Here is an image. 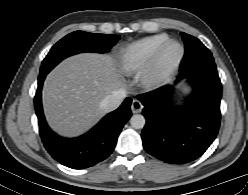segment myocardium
Listing matches in <instances>:
<instances>
[{
    "mask_svg": "<svg viewBox=\"0 0 248 195\" xmlns=\"http://www.w3.org/2000/svg\"><path fill=\"white\" fill-rule=\"evenodd\" d=\"M177 44L180 53L177 59L171 64H164V56L168 48ZM185 49L183 44L176 39H168L156 52L149 66L141 73L140 82L148 89H156L166 83L169 78L178 70L183 62Z\"/></svg>",
    "mask_w": 248,
    "mask_h": 195,
    "instance_id": "f54148a6",
    "label": "myocardium"
}]
</instances>
